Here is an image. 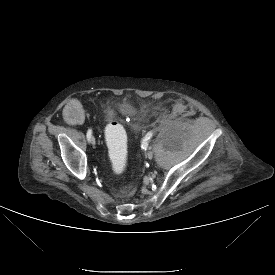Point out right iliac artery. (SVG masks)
Returning <instances> with one entry per match:
<instances>
[{"label": "right iliac artery", "instance_id": "1", "mask_svg": "<svg viewBox=\"0 0 275 275\" xmlns=\"http://www.w3.org/2000/svg\"><path fill=\"white\" fill-rule=\"evenodd\" d=\"M91 136H92V130L89 129V130L87 131V139H88V141H90Z\"/></svg>", "mask_w": 275, "mask_h": 275}]
</instances>
